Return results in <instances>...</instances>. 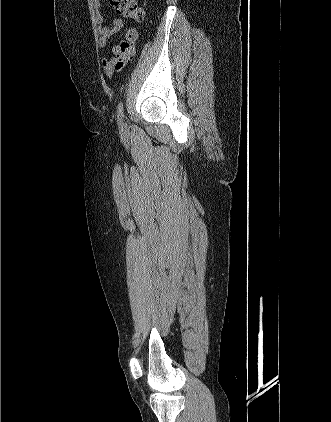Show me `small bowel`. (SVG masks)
Returning <instances> with one entry per match:
<instances>
[{"instance_id":"c3829d8e","label":"small bowel","mask_w":331,"mask_h":422,"mask_svg":"<svg viewBox=\"0 0 331 422\" xmlns=\"http://www.w3.org/2000/svg\"><path fill=\"white\" fill-rule=\"evenodd\" d=\"M91 5L95 12L94 19L96 32L98 34V45L100 48H104L107 45L108 38L119 32L123 28L124 23L121 19H115L110 25H105L103 16L100 13V0H91ZM137 38V29L130 28L126 32L125 38L113 46V56L102 58V67L107 75L113 76L114 74L120 72L126 65L127 61L134 58Z\"/></svg>"}]
</instances>
